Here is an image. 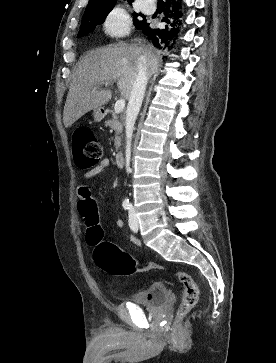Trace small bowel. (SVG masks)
<instances>
[{
    "instance_id": "small-bowel-1",
    "label": "small bowel",
    "mask_w": 276,
    "mask_h": 363,
    "mask_svg": "<svg viewBox=\"0 0 276 363\" xmlns=\"http://www.w3.org/2000/svg\"><path fill=\"white\" fill-rule=\"evenodd\" d=\"M109 166V160L103 159L98 164H96L92 169L88 170L85 173V178L91 179L95 176H97L99 173L104 171ZM78 198H79V204H78V210L82 218L85 220L86 224L90 226L91 219L94 215L98 216L97 212V205L94 201L92 192L90 188L86 185H80L78 188ZM115 223L118 227H121L123 225L122 218L118 217L115 220ZM131 241L137 245L141 246V241L131 236Z\"/></svg>"
}]
</instances>
